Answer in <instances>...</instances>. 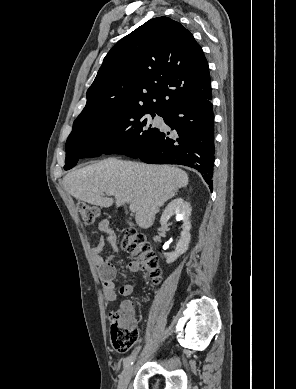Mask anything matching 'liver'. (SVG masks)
Masks as SVG:
<instances>
[{
	"label": "liver",
	"mask_w": 296,
	"mask_h": 389,
	"mask_svg": "<svg viewBox=\"0 0 296 389\" xmlns=\"http://www.w3.org/2000/svg\"><path fill=\"white\" fill-rule=\"evenodd\" d=\"M188 174L176 167L146 165L114 158L102 160L69 172L64 189L74 198L100 207L130 204L136 207L138 226H152L155 215L178 189L187 186Z\"/></svg>",
	"instance_id": "liver-1"
}]
</instances>
